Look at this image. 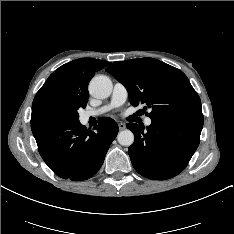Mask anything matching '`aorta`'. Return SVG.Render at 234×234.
I'll list each match as a JSON object with an SVG mask.
<instances>
[{
  "label": "aorta",
  "mask_w": 234,
  "mask_h": 234,
  "mask_svg": "<svg viewBox=\"0 0 234 234\" xmlns=\"http://www.w3.org/2000/svg\"><path fill=\"white\" fill-rule=\"evenodd\" d=\"M89 91L96 98H107L112 92V82L107 76H96L90 81ZM117 140L122 146H130L134 142V134L128 129L120 131Z\"/></svg>",
  "instance_id": "aorta-1"
}]
</instances>
